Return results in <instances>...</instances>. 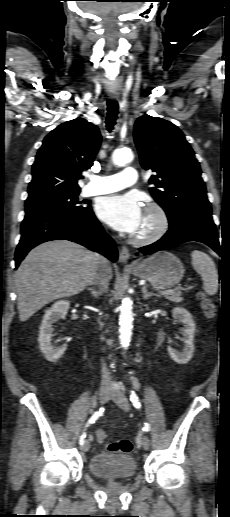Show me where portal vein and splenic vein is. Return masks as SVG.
Wrapping results in <instances>:
<instances>
[{"instance_id":"obj_1","label":"portal vein and splenic vein","mask_w":230,"mask_h":517,"mask_svg":"<svg viewBox=\"0 0 230 517\" xmlns=\"http://www.w3.org/2000/svg\"><path fill=\"white\" fill-rule=\"evenodd\" d=\"M173 292H174V290H167V291H161V292H159V294L164 295V294L173 293Z\"/></svg>"}]
</instances>
